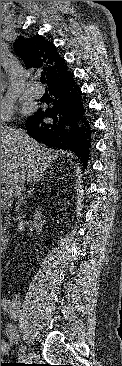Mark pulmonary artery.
<instances>
[{
  "instance_id": "pulmonary-artery-1",
  "label": "pulmonary artery",
  "mask_w": 122,
  "mask_h": 366,
  "mask_svg": "<svg viewBox=\"0 0 122 366\" xmlns=\"http://www.w3.org/2000/svg\"><path fill=\"white\" fill-rule=\"evenodd\" d=\"M26 90L29 94L36 98H39L43 95V89L36 82L28 83L26 86Z\"/></svg>"
}]
</instances>
